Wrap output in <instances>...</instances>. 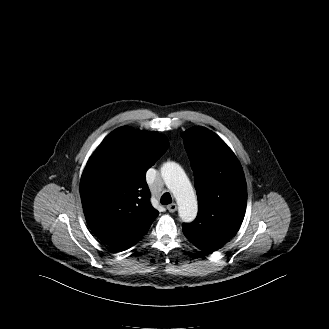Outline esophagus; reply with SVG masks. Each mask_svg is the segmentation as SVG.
Wrapping results in <instances>:
<instances>
[{
  "mask_svg": "<svg viewBox=\"0 0 329 329\" xmlns=\"http://www.w3.org/2000/svg\"><path fill=\"white\" fill-rule=\"evenodd\" d=\"M167 209H168L169 212L173 213L177 210V205L175 203H172V204L167 206Z\"/></svg>",
  "mask_w": 329,
  "mask_h": 329,
  "instance_id": "esophagus-1",
  "label": "esophagus"
}]
</instances>
